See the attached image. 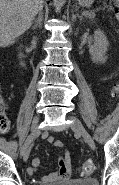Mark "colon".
Here are the masks:
<instances>
[{"label":"colon","mask_w":119,"mask_h":185,"mask_svg":"<svg viewBox=\"0 0 119 185\" xmlns=\"http://www.w3.org/2000/svg\"><path fill=\"white\" fill-rule=\"evenodd\" d=\"M116 16L119 18V11H115ZM119 91V85L115 84L112 89V94L115 96ZM10 128V122L5 113L2 111V107L0 106V131L5 133ZM81 175L87 176L93 173L94 164L92 161H85L79 168Z\"/></svg>","instance_id":"colon-1"}]
</instances>
